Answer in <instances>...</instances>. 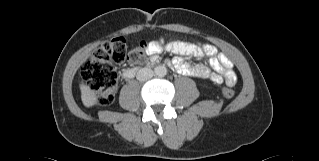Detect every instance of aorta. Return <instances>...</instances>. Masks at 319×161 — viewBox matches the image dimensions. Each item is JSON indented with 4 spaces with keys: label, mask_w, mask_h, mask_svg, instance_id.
Returning <instances> with one entry per match:
<instances>
[{
    "label": "aorta",
    "mask_w": 319,
    "mask_h": 161,
    "mask_svg": "<svg viewBox=\"0 0 319 161\" xmlns=\"http://www.w3.org/2000/svg\"><path fill=\"white\" fill-rule=\"evenodd\" d=\"M154 73L158 77H164L167 74V68L164 65H159V66L155 67Z\"/></svg>",
    "instance_id": "1"
}]
</instances>
